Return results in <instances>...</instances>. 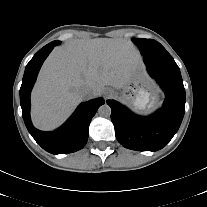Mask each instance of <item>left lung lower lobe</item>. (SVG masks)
I'll use <instances>...</instances> for the list:
<instances>
[{"mask_svg":"<svg viewBox=\"0 0 207 207\" xmlns=\"http://www.w3.org/2000/svg\"><path fill=\"white\" fill-rule=\"evenodd\" d=\"M147 71L164 90L160 110L147 117L132 113L124 105L107 100L111 120L121 145L137 151L162 149L178 131L185 112V89L179 67L170 54L143 56Z\"/></svg>","mask_w":207,"mask_h":207,"instance_id":"left-lung-lower-lobe-1","label":"left lung lower lobe"}]
</instances>
